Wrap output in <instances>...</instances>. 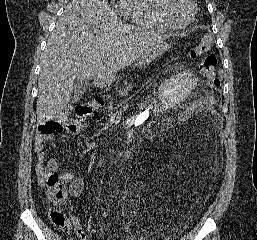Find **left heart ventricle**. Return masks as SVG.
Masks as SVG:
<instances>
[{
  "label": "left heart ventricle",
  "mask_w": 257,
  "mask_h": 240,
  "mask_svg": "<svg viewBox=\"0 0 257 240\" xmlns=\"http://www.w3.org/2000/svg\"><path fill=\"white\" fill-rule=\"evenodd\" d=\"M163 7L167 17L177 24L186 22L192 13L190 0H164Z\"/></svg>",
  "instance_id": "obj_1"
}]
</instances>
